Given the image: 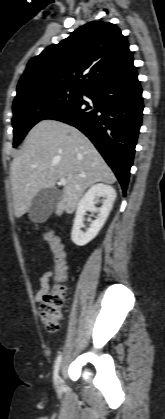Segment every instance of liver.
Listing matches in <instances>:
<instances>
[{
	"mask_svg": "<svg viewBox=\"0 0 165 419\" xmlns=\"http://www.w3.org/2000/svg\"><path fill=\"white\" fill-rule=\"evenodd\" d=\"M11 188L17 218L29 211L34 196L66 178L55 214L72 213L84 191L116 177L92 142L78 129L56 120H42L28 133L22 152L11 164Z\"/></svg>",
	"mask_w": 165,
	"mask_h": 419,
	"instance_id": "liver-1",
	"label": "liver"
}]
</instances>
